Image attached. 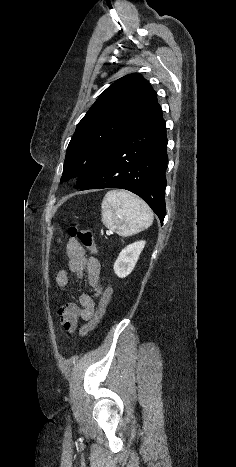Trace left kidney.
<instances>
[{
  "label": "left kidney",
  "instance_id": "left-kidney-1",
  "mask_svg": "<svg viewBox=\"0 0 236 467\" xmlns=\"http://www.w3.org/2000/svg\"><path fill=\"white\" fill-rule=\"evenodd\" d=\"M144 246L145 241L134 242L119 253L113 267L115 274L119 278H125L133 271Z\"/></svg>",
  "mask_w": 236,
  "mask_h": 467
}]
</instances>
